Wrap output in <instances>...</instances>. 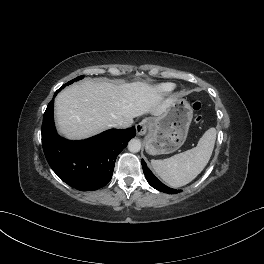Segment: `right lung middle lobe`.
Listing matches in <instances>:
<instances>
[{
    "label": "right lung middle lobe",
    "mask_w": 264,
    "mask_h": 264,
    "mask_svg": "<svg viewBox=\"0 0 264 264\" xmlns=\"http://www.w3.org/2000/svg\"><path fill=\"white\" fill-rule=\"evenodd\" d=\"M83 77H84V76H79V77H77V78H75V79L69 81L68 83H66L65 85H63L60 89L64 88L66 85H69V84L73 83L74 81H77V80L82 79Z\"/></svg>",
    "instance_id": "obj_1"
}]
</instances>
